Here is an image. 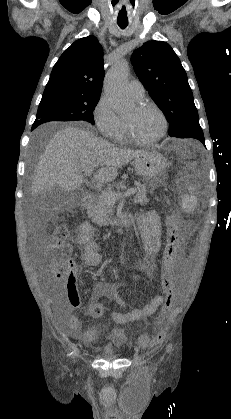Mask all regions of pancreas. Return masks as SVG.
Here are the masks:
<instances>
[{
    "label": "pancreas",
    "instance_id": "1",
    "mask_svg": "<svg viewBox=\"0 0 231 419\" xmlns=\"http://www.w3.org/2000/svg\"><path fill=\"white\" fill-rule=\"evenodd\" d=\"M136 195L134 197V203L144 205L148 202L146 197V187L134 188ZM116 193V192H115ZM113 203L109 201L103 195H97L94 199L93 204L87 207V214L91 218L92 222L102 226L107 225L110 222V212Z\"/></svg>",
    "mask_w": 231,
    "mask_h": 419
}]
</instances>
